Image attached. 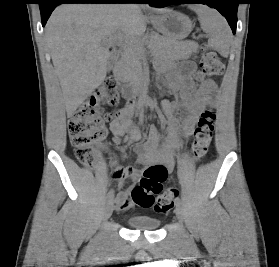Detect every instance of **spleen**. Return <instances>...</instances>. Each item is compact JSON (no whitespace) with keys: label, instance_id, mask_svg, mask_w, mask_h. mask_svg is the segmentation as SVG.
Wrapping results in <instances>:
<instances>
[{"label":"spleen","instance_id":"1","mask_svg":"<svg viewBox=\"0 0 279 267\" xmlns=\"http://www.w3.org/2000/svg\"><path fill=\"white\" fill-rule=\"evenodd\" d=\"M191 9L198 15L202 30L209 35L210 47L227 56L232 36L222 15L206 5H193Z\"/></svg>","mask_w":279,"mask_h":267}]
</instances>
